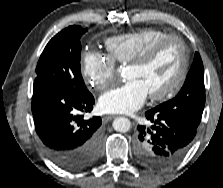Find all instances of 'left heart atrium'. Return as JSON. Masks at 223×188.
Returning a JSON list of instances; mask_svg holds the SVG:
<instances>
[{"label":"left heart atrium","instance_id":"left-heart-atrium-1","mask_svg":"<svg viewBox=\"0 0 223 188\" xmlns=\"http://www.w3.org/2000/svg\"><path fill=\"white\" fill-rule=\"evenodd\" d=\"M148 97L144 86L136 80H127L101 95L98 109L103 113L128 114L139 109Z\"/></svg>","mask_w":223,"mask_h":188}]
</instances>
